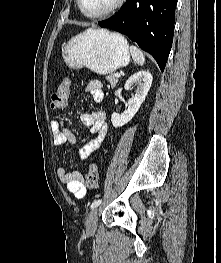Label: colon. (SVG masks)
<instances>
[{"label":"colon","mask_w":221,"mask_h":263,"mask_svg":"<svg viewBox=\"0 0 221 263\" xmlns=\"http://www.w3.org/2000/svg\"><path fill=\"white\" fill-rule=\"evenodd\" d=\"M70 95L69 82L62 80L51 95V107L56 110H63L67 106ZM99 180V169L97 165L91 164L85 174V186L93 189Z\"/></svg>","instance_id":"obj_1"}]
</instances>
